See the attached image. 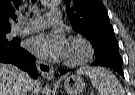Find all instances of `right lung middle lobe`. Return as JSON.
Masks as SVG:
<instances>
[{"label":"right lung middle lobe","mask_w":135,"mask_h":95,"mask_svg":"<svg viewBox=\"0 0 135 95\" xmlns=\"http://www.w3.org/2000/svg\"><path fill=\"white\" fill-rule=\"evenodd\" d=\"M8 32H10V30H0V43L8 42L5 37Z\"/></svg>","instance_id":"right-lung-middle-lobe-1"}]
</instances>
